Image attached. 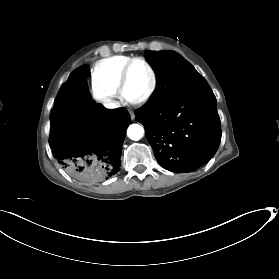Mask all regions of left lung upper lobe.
<instances>
[{"label":"left lung upper lobe","mask_w":279,"mask_h":279,"mask_svg":"<svg viewBox=\"0 0 279 279\" xmlns=\"http://www.w3.org/2000/svg\"><path fill=\"white\" fill-rule=\"evenodd\" d=\"M146 59L156 72V89L145 107L160 106L203 77L183 57L173 51L146 52Z\"/></svg>","instance_id":"left-lung-upper-lobe-1"}]
</instances>
